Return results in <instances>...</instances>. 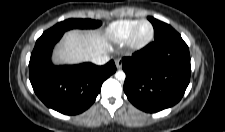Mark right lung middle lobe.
I'll use <instances>...</instances> for the list:
<instances>
[{
  "label": "right lung middle lobe",
  "instance_id": "right-lung-middle-lobe-1",
  "mask_svg": "<svg viewBox=\"0 0 225 132\" xmlns=\"http://www.w3.org/2000/svg\"><path fill=\"white\" fill-rule=\"evenodd\" d=\"M101 25V21L92 20V19H68L62 21L52 28H50L49 32H65L67 30L73 28H80V29H94Z\"/></svg>",
  "mask_w": 225,
  "mask_h": 132
}]
</instances>
